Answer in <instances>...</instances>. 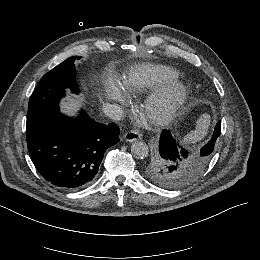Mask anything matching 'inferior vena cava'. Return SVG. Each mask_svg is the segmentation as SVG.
Returning a JSON list of instances; mask_svg holds the SVG:
<instances>
[{"label": "inferior vena cava", "mask_w": 260, "mask_h": 260, "mask_svg": "<svg viewBox=\"0 0 260 260\" xmlns=\"http://www.w3.org/2000/svg\"><path fill=\"white\" fill-rule=\"evenodd\" d=\"M103 112L106 116L114 120H120L123 116V109L118 104H103Z\"/></svg>", "instance_id": "1"}]
</instances>
